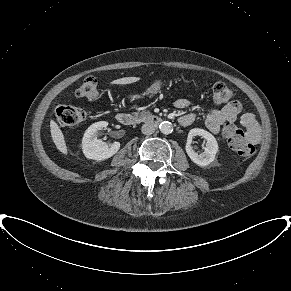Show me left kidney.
I'll use <instances>...</instances> for the list:
<instances>
[{
	"mask_svg": "<svg viewBox=\"0 0 291 291\" xmlns=\"http://www.w3.org/2000/svg\"><path fill=\"white\" fill-rule=\"evenodd\" d=\"M202 136L206 140V146L203 153H196L192 146V139L194 136ZM186 153L189 158L198 166L204 167L214 161L216 153L218 151V143L215 137L208 131L200 128L191 129L188 133L187 143H186Z\"/></svg>",
	"mask_w": 291,
	"mask_h": 291,
	"instance_id": "5707ae66",
	"label": "left kidney"
}]
</instances>
